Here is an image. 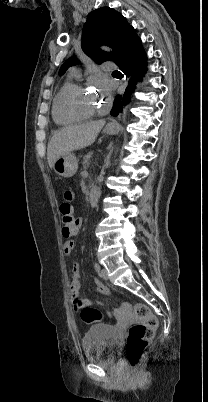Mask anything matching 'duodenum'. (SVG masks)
<instances>
[{
  "instance_id": "410a0bca",
  "label": "duodenum",
  "mask_w": 208,
  "mask_h": 402,
  "mask_svg": "<svg viewBox=\"0 0 208 402\" xmlns=\"http://www.w3.org/2000/svg\"><path fill=\"white\" fill-rule=\"evenodd\" d=\"M99 200V189L92 187L89 192V203L92 207L96 206Z\"/></svg>"
}]
</instances>
